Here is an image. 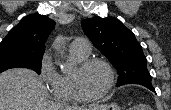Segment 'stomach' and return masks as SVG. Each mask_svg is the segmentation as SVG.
<instances>
[{
	"label": "stomach",
	"instance_id": "obj_1",
	"mask_svg": "<svg viewBox=\"0 0 171 110\" xmlns=\"http://www.w3.org/2000/svg\"><path fill=\"white\" fill-rule=\"evenodd\" d=\"M89 110H120V109L115 103H112L109 106H105V105L104 106H96V107L90 108Z\"/></svg>",
	"mask_w": 171,
	"mask_h": 110
}]
</instances>
